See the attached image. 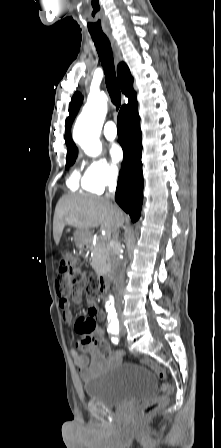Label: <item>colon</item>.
Listing matches in <instances>:
<instances>
[{"instance_id": "5ec220e1", "label": "colon", "mask_w": 221, "mask_h": 448, "mask_svg": "<svg viewBox=\"0 0 221 448\" xmlns=\"http://www.w3.org/2000/svg\"><path fill=\"white\" fill-rule=\"evenodd\" d=\"M79 267V260L74 250L71 248H66L60 257L58 264V274H57V284L59 290L63 291L70 286L71 279L73 278L75 272ZM96 291L95 282L90 281L87 288V298L89 301H93ZM95 327L94 321H90L87 323L84 328L87 331H92ZM144 365H146L150 370H152L162 381L160 385V389L162 394L157 399L147 403L143 406L139 411V419L141 421H145L153 416L160 408L167 404L169 400V394L171 392V386L166 381V372L165 370L156 362L150 359H145L142 361Z\"/></svg>"}]
</instances>
